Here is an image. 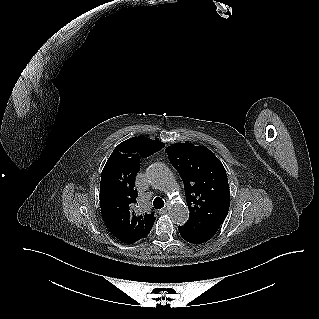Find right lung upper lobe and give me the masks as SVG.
<instances>
[{
    "mask_svg": "<svg viewBox=\"0 0 319 319\" xmlns=\"http://www.w3.org/2000/svg\"><path fill=\"white\" fill-rule=\"evenodd\" d=\"M165 144L146 137H133L120 143L106 162L100 182L103 220L121 242L132 244L146 237L155 222L154 212L138 214L135 177L140 159L159 151ZM138 206V204H137Z\"/></svg>",
    "mask_w": 319,
    "mask_h": 319,
    "instance_id": "1",
    "label": "right lung upper lobe"
}]
</instances>
